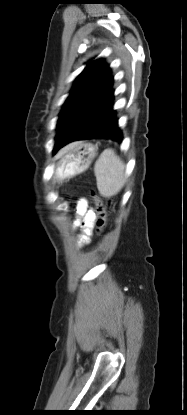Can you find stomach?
I'll use <instances>...</instances> for the list:
<instances>
[{"instance_id":"1","label":"stomach","mask_w":187,"mask_h":415,"mask_svg":"<svg viewBox=\"0 0 187 415\" xmlns=\"http://www.w3.org/2000/svg\"><path fill=\"white\" fill-rule=\"evenodd\" d=\"M97 155V147L91 143L76 142L64 152L56 164L58 181L72 178L89 168Z\"/></svg>"}]
</instances>
